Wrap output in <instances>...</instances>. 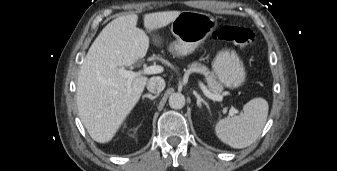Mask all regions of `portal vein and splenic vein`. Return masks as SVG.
Listing matches in <instances>:
<instances>
[{"instance_id": "18ae733b", "label": "portal vein and splenic vein", "mask_w": 337, "mask_h": 171, "mask_svg": "<svg viewBox=\"0 0 337 171\" xmlns=\"http://www.w3.org/2000/svg\"><path fill=\"white\" fill-rule=\"evenodd\" d=\"M163 71H164L163 67L159 66V65H153V66L145 67L138 72H134V71H131V70H125L124 68L119 69V73L127 79L128 86L131 85V82L135 77H138V76H141V75L157 74V73H161ZM200 87L203 90V93L205 94V96H207L208 98H210L214 101H222L223 100L222 95L213 94L212 92H210L206 88V86L203 83H200ZM237 112L238 111L235 108H231L229 110V115L233 116Z\"/></svg>"}]
</instances>
